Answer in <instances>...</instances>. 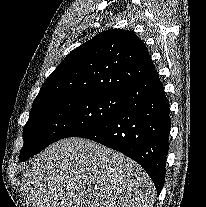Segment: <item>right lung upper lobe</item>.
Segmentation results:
<instances>
[{
	"instance_id": "obj_1",
	"label": "right lung upper lobe",
	"mask_w": 206,
	"mask_h": 207,
	"mask_svg": "<svg viewBox=\"0 0 206 207\" xmlns=\"http://www.w3.org/2000/svg\"><path fill=\"white\" fill-rule=\"evenodd\" d=\"M153 71L141 39L128 30H107L66 56L42 85L33 106L63 96L125 94Z\"/></svg>"
}]
</instances>
